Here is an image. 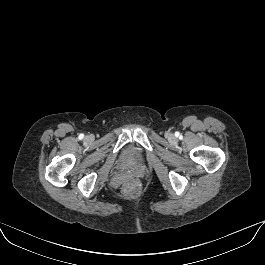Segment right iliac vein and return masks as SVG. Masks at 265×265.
I'll return each instance as SVG.
<instances>
[{"label":"right iliac vein","mask_w":265,"mask_h":265,"mask_svg":"<svg viewBox=\"0 0 265 265\" xmlns=\"http://www.w3.org/2000/svg\"><path fill=\"white\" fill-rule=\"evenodd\" d=\"M86 139H87V140H89V139H90V137H89V136H87V137H86Z\"/></svg>","instance_id":"63e3f726"}]
</instances>
